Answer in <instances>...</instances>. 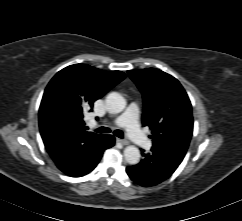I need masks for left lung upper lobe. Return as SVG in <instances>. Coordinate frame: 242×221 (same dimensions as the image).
Returning a JSON list of instances; mask_svg holds the SVG:
<instances>
[{
	"label": "left lung upper lobe",
	"instance_id": "left-lung-upper-lobe-1",
	"mask_svg": "<svg viewBox=\"0 0 242 221\" xmlns=\"http://www.w3.org/2000/svg\"><path fill=\"white\" fill-rule=\"evenodd\" d=\"M143 94V126L152 129L153 147L183 160L193 133L192 106L177 79L153 68L129 70Z\"/></svg>",
	"mask_w": 242,
	"mask_h": 221
}]
</instances>
